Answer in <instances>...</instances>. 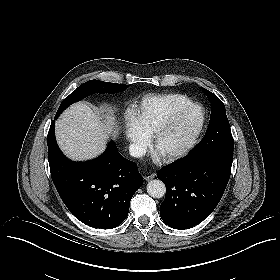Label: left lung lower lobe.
Wrapping results in <instances>:
<instances>
[{
	"instance_id": "obj_1",
	"label": "left lung lower lobe",
	"mask_w": 280,
	"mask_h": 280,
	"mask_svg": "<svg viewBox=\"0 0 280 280\" xmlns=\"http://www.w3.org/2000/svg\"><path fill=\"white\" fill-rule=\"evenodd\" d=\"M233 158L204 155L162 168L157 177L166 186L160 206L162 220L171 228L188 229L218 205L230 178Z\"/></svg>"
}]
</instances>
